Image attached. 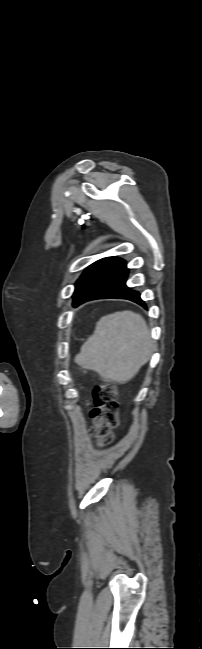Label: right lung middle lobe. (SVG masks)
<instances>
[{"label":"right lung middle lobe","mask_w":202,"mask_h":649,"mask_svg":"<svg viewBox=\"0 0 202 649\" xmlns=\"http://www.w3.org/2000/svg\"><path fill=\"white\" fill-rule=\"evenodd\" d=\"M115 257H109L101 259L94 264L90 265L82 276L78 279L75 284V292L73 294L74 306L77 305V302L80 300L83 291L86 289L87 285L107 266L109 265Z\"/></svg>","instance_id":"dd1d6c3e"}]
</instances>
